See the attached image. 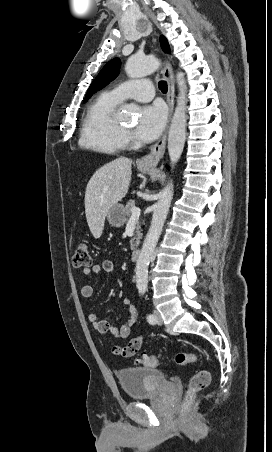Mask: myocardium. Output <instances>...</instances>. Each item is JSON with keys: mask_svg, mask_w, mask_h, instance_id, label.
<instances>
[{"mask_svg": "<svg viewBox=\"0 0 272 452\" xmlns=\"http://www.w3.org/2000/svg\"><path fill=\"white\" fill-rule=\"evenodd\" d=\"M121 128H122L123 130H125V131H127V130H128V129H127L126 127H122V126H121Z\"/></svg>", "mask_w": 272, "mask_h": 452, "instance_id": "myocardium-1", "label": "myocardium"}]
</instances>
